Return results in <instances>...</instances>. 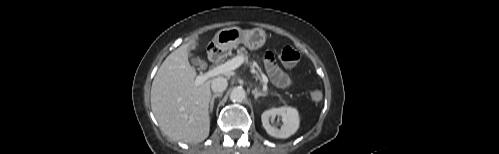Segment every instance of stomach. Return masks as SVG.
Listing matches in <instances>:
<instances>
[{
    "label": "stomach",
    "mask_w": 499,
    "mask_h": 154,
    "mask_svg": "<svg viewBox=\"0 0 499 154\" xmlns=\"http://www.w3.org/2000/svg\"><path fill=\"white\" fill-rule=\"evenodd\" d=\"M265 41L266 33L263 29L241 30L238 27H230L218 31L213 44L221 51L229 50L239 43H243L250 50H257L265 44Z\"/></svg>",
    "instance_id": "obj_1"
}]
</instances>
